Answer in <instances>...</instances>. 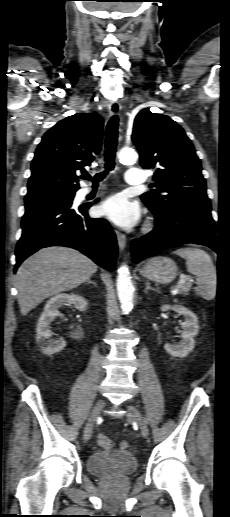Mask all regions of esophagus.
<instances>
[{"label":"esophagus","mask_w":230,"mask_h":517,"mask_svg":"<svg viewBox=\"0 0 230 517\" xmlns=\"http://www.w3.org/2000/svg\"><path fill=\"white\" fill-rule=\"evenodd\" d=\"M120 111H121L120 103L118 101H113L109 106V114L111 116L119 115ZM115 233H116L119 248L121 250H124L126 247V243H127L126 236L118 230H116Z\"/></svg>","instance_id":"esophagus-1"}]
</instances>
